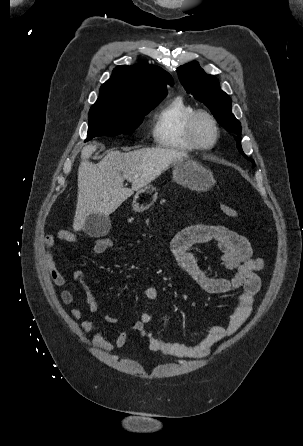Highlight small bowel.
Segmentation results:
<instances>
[{"label": "small bowel", "instance_id": "small-bowel-1", "mask_svg": "<svg viewBox=\"0 0 303 446\" xmlns=\"http://www.w3.org/2000/svg\"><path fill=\"white\" fill-rule=\"evenodd\" d=\"M58 240L77 243L78 238L73 232L66 229L60 230L56 235L47 234L43 238L44 260L49 277L55 285L64 286L67 283V278L56 267L52 252ZM103 241L104 238L94 241L92 245L94 253L103 254L107 252L104 250ZM209 242L217 243L222 252L221 263L226 270L232 272V276H210L200 267L192 248ZM170 247L178 266L202 291L209 294H225L237 291L235 307L227 318L226 324L212 326L207 334L195 344L163 340L147 334L146 326L153 320V314L150 311L143 312L131 329L146 338L152 351L166 356L201 358L209 354L216 343L236 333L250 316L254 296L261 286L258 272L262 269L263 262L253 256V249L244 236L223 225L193 223L173 236ZM73 279L84 290L89 311L92 313L98 312V303L85 274L77 270L73 273ZM144 296L148 301L153 302L159 296V289L156 286H149L145 289ZM60 298L65 305H71L74 302V294L68 289L60 293ZM70 314L75 319H81L83 316L82 310L78 308H72ZM105 320L109 324L117 322V319L109 313ZM80 329L83 332H95L94 342L104 350L110 351L121 348L127 342L125 332L119 333L113 339H107L91 320L82 321Z\"/></svg>", "mask_w": 303, "mask_h": 446}]
</instances>
